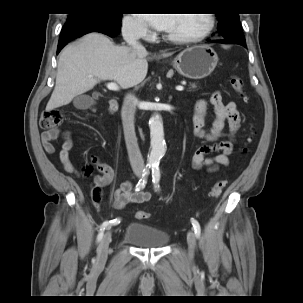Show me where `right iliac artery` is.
Segmentation results:
<instances>
[{"label": "right iliac artery", "instance_id": "82829eb1", "mask_svg": "<svg viewBox=\"0 0 303 303\" xmlns=\"http://www.w3.org/2000/svg\"><path fill=\"white\" fill-rule=\"evenodd\" d=\"M148 174H149V168L146 167L143 170L142 178L139 180V182L136 185V191H139V190H141L145 187ZM119 223H120V219H117V218L114 219V220L103 222L100 226V230H99V233L97 235V242H100L101 239L103 238L104 231H105V229L107 228L108 225H110V224L116 225V224H119Z\"/></svg>", "mask_w": 303, "mask_h": 303}]
</instances>
